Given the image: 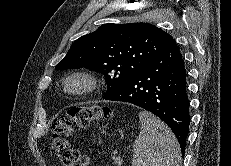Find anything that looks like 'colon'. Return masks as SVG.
Listing matches in <instances>:
<instances>
[{
	"label": "colon",
	"instance_id": "colon-1",
	"mask_svg": "<svg viewBox=\"0 0 231 166\" xmlns=\"http://www.w3.org/2000/svg\"><path fill=\"white\" fill-rule=\"evenodd\" d=\"M111 110L107 106L92 105L69 109L53 125L52 149L62 166H88L89 158L80 154L69 142L75 131L86 128L94 120L107 119Z\"/></svg>",
	"mask_w": 231,
	"mask_h": 166
}]
</instances>
